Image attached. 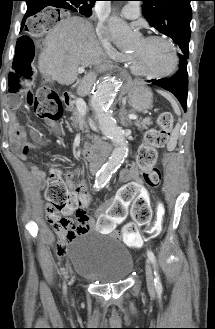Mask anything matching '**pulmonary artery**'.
Listing matches in <instances>:
<instances>
[{"label":"pulmonary artery","instance_id":"1","mask_svg":"<svg viewBox=\"0 0 215 329\" xmlns=\"http://www.w3.org/2000/svg\"><path fill=\"white\" fill-rule=\"evenodd\" d=\"M141 9L138 2H128L121 9V16L126 19H136L140 16Z\"/></svg>","mask_w":215,"mask_h":329}]
</instances>
